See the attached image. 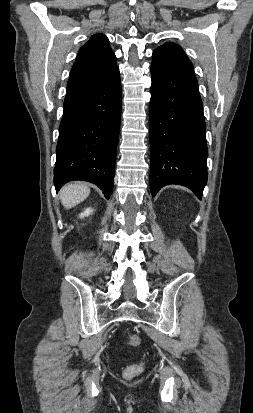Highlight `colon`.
<instances>
[{
    "mask_svg": "<svg viewBox=\"0 0 253 413\" xmlns=\"http://www.w3.org/2000/svg\"><path fill=\"white\" fill-rule=\"evenodd\" d=\"M141 342L140 337L135 334V333H129L127 335L125 344L129 347H137L139 346ZM143 370V365L142 364H133L128 366L125 370H124V377L127 379H131L135 376H137L138 374H140Z\"/></svg>",
    "mask_w": 253,
    "mask_h": 413,
    "instance_id": "1",
    "label": "colon"
}]
</instances>
